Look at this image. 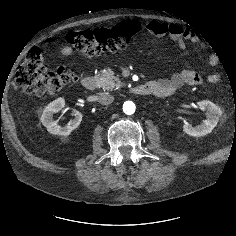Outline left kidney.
<instances>
[{
    "instance_id": "5707ae66",
    "label": "left kidney",
    "mask_w": 236,
    "mask_h": 236,
    "mask_svg": "<svg viewBox=\"0 0 236 236\" xmlns=\"http://www.w3.org/2000/svg\"><path fill=\"white\" fill-rule=\"evenodd\" d=\"M197 104L201 109L207 111V118L203 120L200 125L195 127L189 123H185L183 125V131L190 136L200 137L212 132L222 115V110L220 107L208 100L199 101Z\"/></svg>"
}]
</instances>
